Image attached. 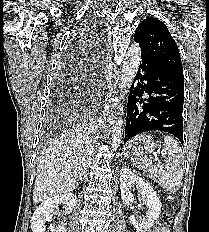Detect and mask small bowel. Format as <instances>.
<instances>
[{"label": "small bowel", "instance_id": "obj_1", "mask_svg": "<svg viewBox=\"0 0 209 232\" xmlns=\"http://www.w3.org/2000/svg\"><path fill=\"white\" fill-rule=\"evenodd\" d=\"M153 232H168L167 228H160L159 226Z\"/></svg>", "mask_w": 209, "mask_h": 232}]
</instances>
